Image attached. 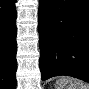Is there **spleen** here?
<instances>
[{
	"instance_id": "obj_1",
	"label": "spleen",
	"mask_w": 89,
	"mask_h": 89,
	"mask_svg": "<svg viewBox=\"0 0 89 89\" xmlns=\"http://www.w3.org/2000/svg\"><path fill=\"white\" fill-rule=\"evenodd\" d=\"M55 89H88V85L72 77H60L56 80Z\"/></svg>"
}]
</instances>
